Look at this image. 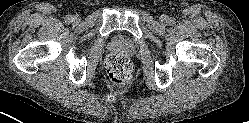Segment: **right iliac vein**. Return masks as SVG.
Segmentation results:
<instances>
[{"label":"right iliac vein","mask_w":249,"mask_h":123,"mask_svg":"<svg viewBox=\"0 0 249 123\" xmlns=\"http://www.w3.org/2000/svg\"><path fill=\"white\" fill-rule=\"evenodd\" d=\"M73 22L78 23L80 21V17L78 15L73 17Z\"/></svg>","instance_id":"right-iliac-vein-1"}]
</instances>
